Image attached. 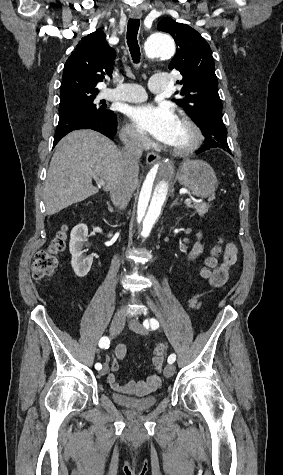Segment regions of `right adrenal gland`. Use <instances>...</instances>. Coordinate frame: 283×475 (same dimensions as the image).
I'll return each mask as SVG.
<instances>
[{
  "mask_svg": "<svg viewBox=\"0 0 283 475\" xmlns=\"http://www.w3.org/2000/svg\"><path fill=\"white\" fill-rule=\"evenodd\" d=\"M107 206H108V210H110V212H111L112 206H111L110 202H107Z\"/></svg>",
  "mask_w": 283,
  "mask_h": 475,
  "instance_id": "obj_1",
  "label": "right adrenal gland"
}]
</instances>
